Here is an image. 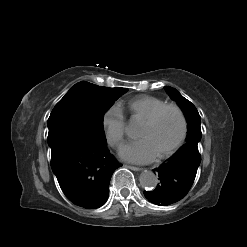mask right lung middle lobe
<instances>
[{"instance_id": "right-lung-middle-lobe-1", "label": "right lung middle lobe", "mask_w": 247, "mask_h": 247, "mask_svg": "<svg viewBox=\"0 0 247 247\" xmlns=\"http://www.w3.org/2000/svg\"><path fill=\"white\" fill-rule=\"evenodd\" d=\"M128 89L97 86L86 81L75 84L56 104L47 122L48 128L65 126L83 131L106 144L104 113Z\"/></svg>"}]
</instances>
